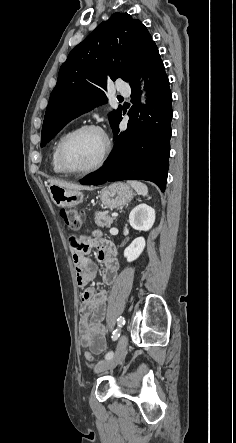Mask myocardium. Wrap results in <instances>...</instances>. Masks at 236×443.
Wrapping results in <instances>:
<instances>
[{"label": "myocardium", "instance_id": "obj_1", "mask_svg": "<svg viewBox=\"0 0 236 443\" xmlns=\"http://www.w3.org/2000/svg\"><path fill=\"white\" fill-rule=\"evenodd\" d=\"M86 131L99 132L104 138V149H103L101 156H100L99 160L97 161V163L94 166H92L91 168L83 169V170L72 169L68 166V164L65 160L66 147L73 138H75L79 134L86 132ZM110 150H111V144H110V141H109L107 135L105 134L104 130L96 124H84V125L77 127L76 129L72 130L64 137V139L62 140V142L60 143L59 148H58V162H59L60 167L62 168V170L65 173L72 174V175H88V174L98 171L104 165V163L110 153Z\"/></svg>", "mask_w": 236, "mask_h": 443}]
</instances>
